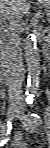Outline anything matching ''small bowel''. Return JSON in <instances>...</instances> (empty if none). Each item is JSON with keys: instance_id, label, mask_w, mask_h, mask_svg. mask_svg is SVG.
I'll list each match as a JSON object with an SVG mask.
<instances>
[{"instance_id": "c3829d8e", "label": "small bowel", "mask_w": 50, "mask_h": 148, "mask_svg": "<svg viewBox=\"0 0 50 148\" xmlns=\"http://www.w3.org/2000/svg\"><path fill=\"white\" fill-rule=\"evenodd\" d=\"M13 146L16 148H25L26 147V142L24 141L23 134L18 133L13 141Z\"/></svg>"}]
</instances>
